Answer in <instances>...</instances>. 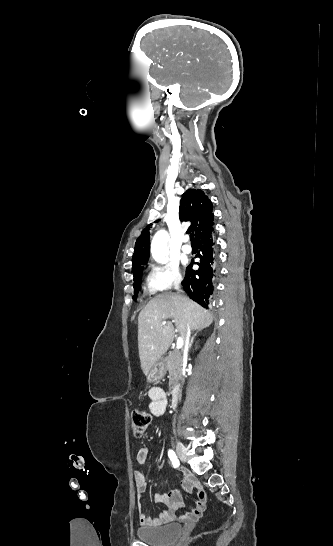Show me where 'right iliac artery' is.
Returning <instances> with one entry per match:
<instances>
[{
  "label": "right iliac artery",
  "instance_id": "82829eb1",
  "mask_svg": "<svg viewBox=\"0 0 333 546\" xmlns=\"http://www.w3.org/2000/svg\"><path fill=\"white\" fill-rule=\"evenodd\" d=\"M168 456H169V458H170V460H171V462H172V465H173L174 467H177V466L179 465V460H178V458H177L176 453H175L173 450L170 449V450L168 451Z\"/></svg>",
  "mask_w": 333,
  "mask_h": 546
}]
</instances>
